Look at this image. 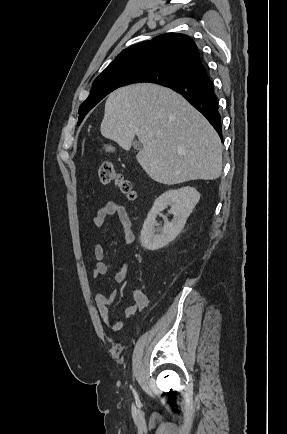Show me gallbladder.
<instances>
[{
  "label": "gallbladder",
  "mask_w": 287,
  "mask_h": 434,
  "mask_svg": "<svg viewBox=\"0 0 287 434\" xmlns=\"http://www.w3.org/2000/svg\"><path fill=\"white\" fill-rule=\"evenodd\" d=\"M133 147H134L135 149H141V144L138 143V142H133Z\"/></svg>",
  "instance_id": "gallbladder-1"
}]
</instances>
